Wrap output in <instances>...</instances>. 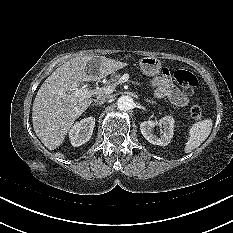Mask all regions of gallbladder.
<instances>
[{
    "label": "gallbladder",
    "mask_w": 233,
    "mask_h": 233,
    "mask_svg": "<svg viewBox=\"0 0 233 233\" xmlns=\"http://www.w3.org/2000/svg\"><path fill=\"white\" fill-rule=\"evenodd\" d=\"M99 61L98 57H95L92 61L89 62L90 65L96 64Z\"/></svg>",
    "instance_id": "bac80fb5"
}]
</instances>
